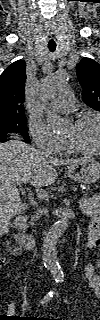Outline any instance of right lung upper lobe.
Returning a JSON list of instances; mask_svg holds the SVG:
<instances>
[{
    "mask_svg": "<svg viewBox=\"0 0 100 320\" xmlns=\"http://www.w3.org/2000/svg\"><path fill=\"white\" fill-rule=\"evenodd\" d=\"M26 63L18 60L8 66L0 76V120L25 116Z\"/></svg>",
    "mask_w": 100,
    "mask_h": 320,
    "instance_id": "obj_1",
    "label": "right lung upper lobe"
}]
</instances>
